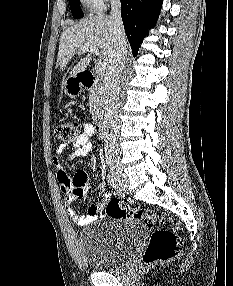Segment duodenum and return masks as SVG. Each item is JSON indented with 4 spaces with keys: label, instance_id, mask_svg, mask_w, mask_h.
Instances as JSON below:
<instances>
[{
    "label": "duodenum",
    "instance_id": "duodenum-1",
    "mask_svg": "<svg viewBox=\"0 0 233 286\" xmlns=\"http://www.w3.org/2000/svg\"><path fill=\"white\" fill-rule=\"evenodd\" d=\"M77 82L82 87L90 89L96 85L97 80L92 72L82 71L77 74ZM96 129L102 137L106 135V123L102 118L97 120Z\"/></svg>",
    "mask_w": 233,
    "mask_h": 286
}]
</instances>
